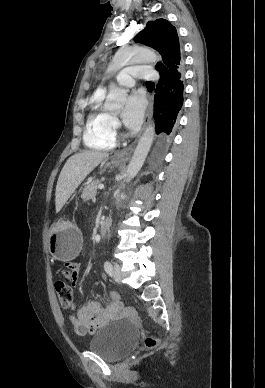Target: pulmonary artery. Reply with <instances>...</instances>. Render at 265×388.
<instances>
[{
    "instance_id": "e3ab8cb5",
    "label": "pulmonary artery",
    "mask_w": 265,
    "mask_h": 388,
    "mask_svg": "<svg viewBox=\"0 0 265 388\" xmlns=\"http://www.w3.org/2000/svg\"><path fill=\"white\" fill-rule=\"evenodd\" d=\"M126 69H120L118 77L119 86H131L139 79H147L152 82L159 77L157 72L153 73L154 66L152 64H126Z\"/></svg>"
}]
</instances>
